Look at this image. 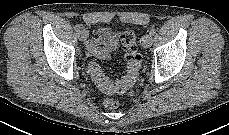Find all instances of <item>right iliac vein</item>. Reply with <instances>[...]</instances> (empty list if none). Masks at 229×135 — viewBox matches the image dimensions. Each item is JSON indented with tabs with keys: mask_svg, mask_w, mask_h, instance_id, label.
Returning <instances> with one entry per match:
<instances>
[{
	"mask_svg": "<svg viewBox=\"0 0 229 135\" xmlns=\"http://www.w3.org/2000/svg\"><path fill=\"white\" fill-rule=\"evenodd\" d=\"M89 37V32L86 29L79 31L78 38L80 41L85 42Z\"/></svg>",
	"mask_w": 229,
	"mask_h": 135,
	"instance_id": "1",
	"label": "right iliac vein"
}]
</instances>
